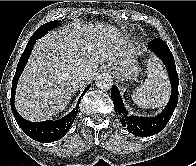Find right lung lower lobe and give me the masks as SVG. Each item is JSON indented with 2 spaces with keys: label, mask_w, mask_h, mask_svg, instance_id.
Returning <instances> with one entry per match:
<instances>
[{
  "label": "right lung lower lobe",
  "mask_w": 196,
  "mask_h": 166,
  "mask_svg": "<svg viewBox=\"0 0 196 166\" xmlns=\"http://www.w3.org/2000/svg\"><path fill=\"white\" fill-rule=\"evenodd\" d=\"M38 39L37 38H31L28 42L23 54L21 55V58L19 60V63L16 68V73L12 81V91H11V109L13 112V115L16 119V122L18 123L19 127L32 139L38 141V142H54L57 140H60L70 129L71 125L74 122V119L77 115L79 103L81 100V97L87 92V90L90 88V85H88L81 97L78 100V104L76 107L66 116L63 118L52 121L47 120L43 122H30L22 118L17 111L15 110L14 106V99H15V90L18 83V79L28 61V58L31 54V51L33 49L34 44L36 43Z\"/></svg>",
  "instance_id": "1"
}]
</instances>
